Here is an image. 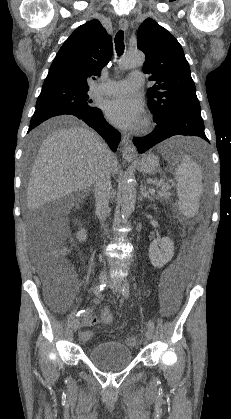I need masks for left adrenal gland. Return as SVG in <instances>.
I'll list each match as a JSON object with an SVG mask.
<instances>
[{
	"mask_svg": "<svg viewBox=\"0 0 231 419\" xmlns=\"http://www.w3.org/2000/svg\"><path fill=\"white\" fill-rule=\"evenodd\" d=\"M140 198H147L150 201H153V198L149 195V193L146 191V186H141V193Z\"/></svg>",
	"mask_w": 231,
	"mask_h": 419,
	"instance_id": "a2214340",
	"label": "left adrenal gland"
}]
</instances>
